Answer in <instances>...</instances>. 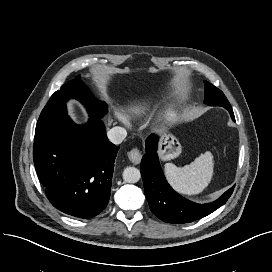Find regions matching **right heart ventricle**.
<instances>
[{
	"label": "right heart ventricle",
	"instance_id": "right-heart-ventricle-1",
	"mask_svg": "<svg viewBox=\"0 0 272 272\" xmlns=\"http://www.w3.org/2000/svg\"><path fill=\"white\" fill-rule=\"evenodd\" d=\"M146 107H147V104L144 102L137 104L130 110V114L128 115V118L139 115Z\"/></svg>",
	"mask_w": 272,
	"mask_h": 272
}]
</instances>
